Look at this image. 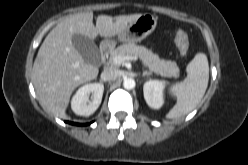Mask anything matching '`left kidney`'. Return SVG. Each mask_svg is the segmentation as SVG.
<instances>
[{
  "label": "left kidney",
  "instance_id": "5707ae66",
  "mask_svg": "<svg viewBox=\"0 0 248 165\" xmlns=\"http://www.w3.org/2000/svg\"><path fill=\"white\" fill-rule=\"evenodd\" d=\"M165 81L148 80L144 83L143 93L146 103L153 109H159L164 104Z\"/></svg>",
  "mask_w": 248,
  "mask_h": 165
}]
</instances>
